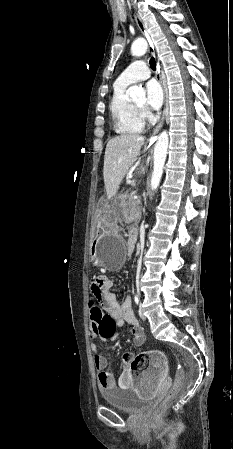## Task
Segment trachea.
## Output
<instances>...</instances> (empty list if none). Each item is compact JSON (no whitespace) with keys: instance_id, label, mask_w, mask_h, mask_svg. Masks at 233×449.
I'll return each instance as SVG.
<instances>
[{"instance_id":"trachea-1","label":"trachea","mask_w":233,"mask_h":449,"mask_svg":"<svg viewBox=\"0 0 233 449\" xmlns=\"http://www.w3.org/2000/svg\"><path fill=\"white\" fill-rule=\"evenodd\" d=\"M150 67H151L152 70L156 69V62H155V59L153 57L150 59Z\"/></svg>"}]
</instances>
